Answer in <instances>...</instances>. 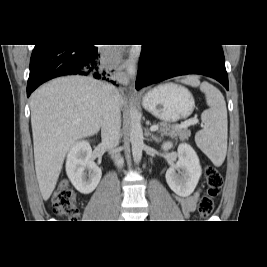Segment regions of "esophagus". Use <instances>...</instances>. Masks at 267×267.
I'll list each match as a JSON object with an SVG mask.
<instances>
[{"label":"esophagus","mask_w":267,"mask_h":267,"mask_svg":"<svg viewBox=\"0 0 267 267\" xmlns=\"http://www.w3.org/2000/svg\"><path fill=\"white\" fill-rule=\"evenodd\" d=\"M117 79H118L119 82L128 80L125 73L118 74L117 75Z\"/></svg>","instance_id":"1"}]
</instances>
